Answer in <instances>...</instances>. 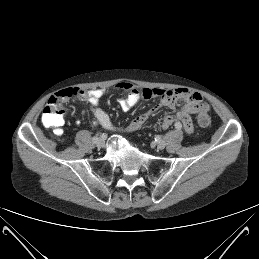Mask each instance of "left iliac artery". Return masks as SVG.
I'll return each mask as SVG.
<instances>
[{"label":"left iliac artery","mask_w":259,"mask_h":259,"mask_svg":"<svg viewBox=\"0 0 259 259\" xmlns=\"http://www.w3.org/2000/svg\"><path fill=\"white\" fill-rule=\"evenodd\" d=\"M181 127H182V126H181L180 123H176V124H175V128H176V129H181Z\"/></svg>","instance_id":"44dca946"}]
</instances>
